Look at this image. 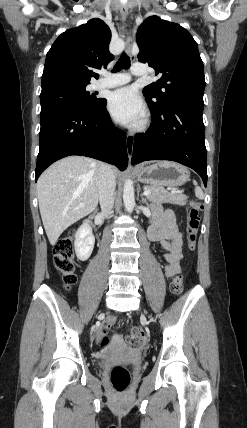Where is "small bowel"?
<instances>
[{"instance_id":"small-bowel-1","label":"small bowel","mask_w":247,"mask_h":428,"mask_svg":"<svg viewBox=\"0 0 247 428\" xmlns=\"http://www.w3.org/2000/svg\"><path fill=\"white\" fill-rule=\"evenodd\" d=\"M150 240L160 242L165 251L167 266L166 277H172L180 271L182 260V234L179 231L174 214L171 210H162L160 207L154 208V221L148 230ZM103 330H99L96 339L100 340Z\"/></svg>"}]
</instances>
